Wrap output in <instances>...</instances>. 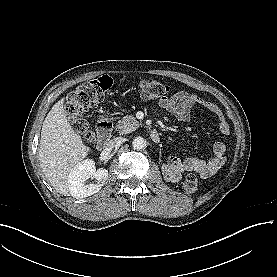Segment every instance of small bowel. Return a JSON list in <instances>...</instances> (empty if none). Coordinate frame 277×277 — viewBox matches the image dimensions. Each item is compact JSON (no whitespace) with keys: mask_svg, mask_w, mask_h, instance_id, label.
I'll list each match as a JSON object with an SVG mask.
<instances>
[{"mask_svg":"<svg viewBox=\"0 0 277 277\" xmlns=\"http://www.w3.org/2000/svg\"><path fill=\"white\" fill-rule=\"evenodd\" d=\"M199 105L213 113L220 114L218 107L195 94L179 91L170 98H162L159 100V106L175 116L179 121H187L190 118V112L193 106ZM219 129L223 134L229 132L227 122L220 118ZM225 145L217 142L213 147V157L209 161L188 157L183 161L177 157H170L166 162L168 170L181 169L187 172H194L200 176H208L211 171L224 162Z\"/></svg>","mask_w":277,"mask_h":277,"instance_id":"small-bowel-1","label":"small bowel"}]
</instances>
